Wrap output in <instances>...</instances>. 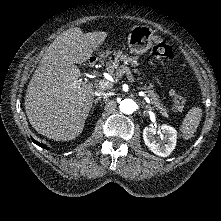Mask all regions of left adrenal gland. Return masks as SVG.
Instances as JSON below:
<instances>
[{"instance_id": "1", "label": "left adrenal gland", "mask_w": 221, "mask_h": 221, "mask_svg": "<svg viewBox=\"0 0 221 221\" xmlns=\"http://www.w3.org/2000/svg\"><path fill=\"white\" fill-rule=\"evenodd\" d=\"M145 108H146V109H152V108H151L150 106H148V105H147V106H145Z\"/></svg>"}]
</instances>
